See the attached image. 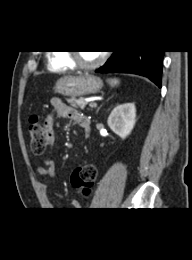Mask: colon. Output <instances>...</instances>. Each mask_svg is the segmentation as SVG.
Wrapping results in <instances>:
<instances>
[{"label":"colon","instance_id":"1","mask_svg":"<svg viewBox=\"0 0 192 260\" xmlns=\"http://www.w3.org/2000/svg\"><path fill=\"white\" fill-rule=\"evenodd\" d=\"M30 148L33 154L42 155L51 144L50 136L38 115H32L28 124ZM97 169L93 164L77 167L71 176L74 189L83 196H88L95 184Z\"/></svg>","mask_w":192,"mask_h":260}]
</instances>
